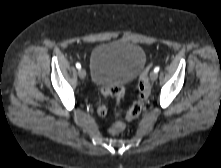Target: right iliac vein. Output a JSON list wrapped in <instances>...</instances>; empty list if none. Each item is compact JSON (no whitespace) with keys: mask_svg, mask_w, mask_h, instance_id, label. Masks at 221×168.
<instances>
[{"mask_svg":"<svg viewBox=\"0 0 221 168\" xmlns=\"http://www.w3.org/2000/svg\"><path fill=\"white\" fill-rule=\"evenodd\" d=\"M78 75L81 79H84L86 77V71L84 69H79Z\"/></svg>","mask_w":221,"mask_h":168,"instance_id":"63e3f726","label":"right iliac vein"}]
</instances>
